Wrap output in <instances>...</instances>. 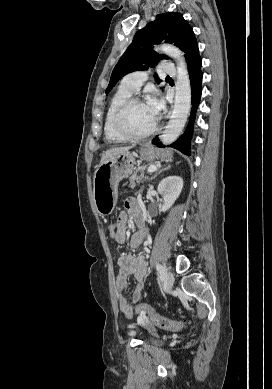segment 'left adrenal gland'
Wrapping results in <instances>:
<instances>
[{
  "label": "left adrenal gland",
  "mask_w": 272,
  "mask_h": 389,
  "mask_svg": "<svg viewBox=\"0 0 272 389\" xmlns=\"http://www.w3.org/2000/svg\"><path fill=\"white\" fill-rule=\"evenodd\" d=\"M168 169H170V165H167L166 167L159 170L157 173H155V175L153 177L150 178V180L155 179V177H157L160 173H162L163 171H166Z\"/></svg>",
  "instance_id": "a2214340"
}]
</instances>
